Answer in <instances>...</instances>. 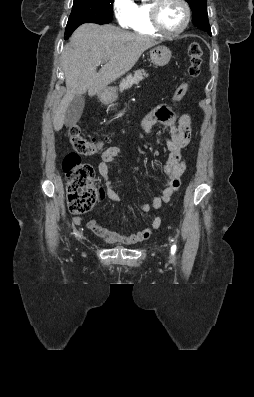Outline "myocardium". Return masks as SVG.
Segmentation results:
<instances>
[{
    "label": "myocardium",
    "instance_id": "obj_1",
    "mask_svg": "<svg viewBox=\"0 0 254 397\" xmlns=\"http://www.w3.org/2000/svg\"><path fill=\"white\" fill-rule=\"evenodd\" d=\"M166 0H153L150 5V21L153 29L160 35L165 37H176L183 33L187 28L190 18H191V10L190 6L186 0H177L184 9V20L182 25L175 31H167L165 30L160 23V9L161 6L165 3Z\"/></svg>",
    "mask_w": 254,
    "mask_h": 397
}]
</instances>
